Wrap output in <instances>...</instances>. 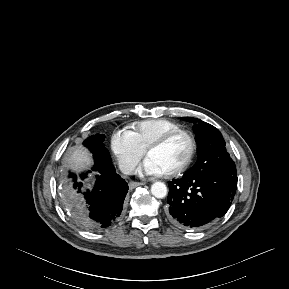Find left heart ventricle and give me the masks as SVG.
Here are the masks:
<instances>
[{
    "instance_id": "left-heart-ventricle-1",
    "label": "left heart ventricle",
    "mask_w": 289,
    "mask_h": 289,
    "mask_svg": "<svg viewBox=\"0 0 289 289\" xmlns=\"http://www.w3.org/2000/svg\"><path fill=\"white\" fill-rule=\"evenodd\" d=\"M189 151V140L185 136H180L166 146L152 151L148 158L153 160L165 174L179 167L188 157Z\"/></svg>"
}]
</instances>
